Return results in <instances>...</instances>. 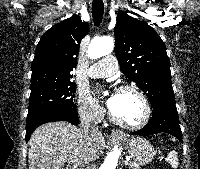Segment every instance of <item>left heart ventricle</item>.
<instances>
[{"instance_id": "obj_1", "label": "left heart ventricle", "mask_w": 200, "mask_h": 169, "mask_svg": "<svg viewBox=\"0 0 200 169\" xmlns=\"http://www.w3.org/2000/svg\"><path fill=\"white\" fill-rule=\"evenodd\" d=\"M110 109L119 120L129 124L139 123L145 114L142 100L131 91L115 92Z\"/></svg>"}]
</instances>
